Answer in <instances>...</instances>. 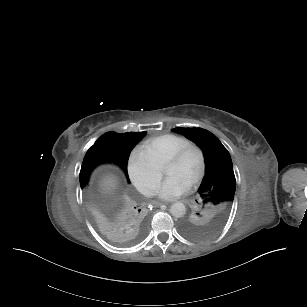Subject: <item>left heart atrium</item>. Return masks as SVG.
I'll use <instances>...</instances> for the list:
<instances>
[{
  "mask_svg": "<svg viewBox=\"0 0 307 307\" xmlns=\"http://www.w3.org/2000/svg\"><path fill=\"white\" fill-rule=\"evenodd\" d=\"M189 183L179 176L169 175L154 183L151 194L163 200H174L189 191Z\"/></svg>",
  "mask_w": 307,
  "mask_h": 307,
  "instance_id": "39dd6f15",
  "label": "left heart atrium"
}]
</instances>
